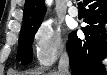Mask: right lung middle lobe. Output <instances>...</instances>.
Wrapping results in <instances>:
<instances>
[{"instance_id": "right-lung-middle-lobe-1", "label": "right lung middle lobe", "mask_w": 107, "mask_h": 75, "mask_svg": "<svg viewBox=\"0 0 107 75\" xmlns=\"http://www.w3.org/2000/svg\"><path fill=\"white\" fill-rule=\"evenodd\" d=\"M40 25L41 23L22 24L17 53V59L18 61H21L22 65L29 64L32 61V43L34 35Z\"/></svg>"}]
</instances>
